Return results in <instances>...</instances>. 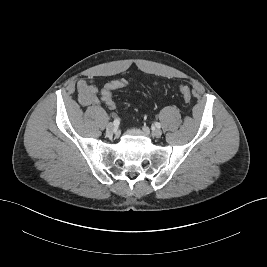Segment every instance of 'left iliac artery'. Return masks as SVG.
Segmentation results:
<instances>
[{
  "label": "left iliac artery",
  "mask_w": 267,
  "mask_h": 267,
  "mask_svg": "<svg viewBox=\"0 0 267 267\" xmlns=\"http://www.w3.org/2000/svg\"><path fill=\"white\" fill-rule=\"evenodd\" d=\"M155 127H157V128H160L161 127V124L160 123H158V122H155Z\"/></svg>",
  "instance_id": "44dca946"
}]
</instances>
